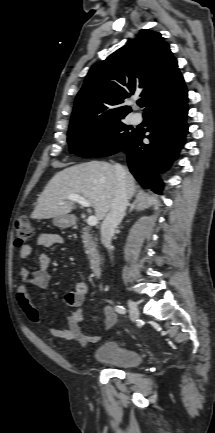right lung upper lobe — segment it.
<instances>
[{"label":"right lung upper lobe","instance_id":"obj_1","mask_svg":"<svg viewBox=\"0 0 215 433\" xmlns=\"http://www.w3.org/2000/svg\"><path fill=\"white\" fill-rule=\"evenodd\" d=\"M183 82L177 60L161 34L143 30L128 45L92 66L78 93L70 125L125 117L123 101L143 89L145 106Z\"/></svg>","mask_w":215,"mask_h":433}]
</instances>
